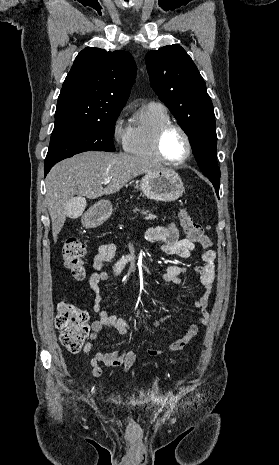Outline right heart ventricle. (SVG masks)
I'll return each mask as SVG.
<instances>
[{
  "label": "right heart ventricle",
  "mask_w": 279,
  "mask_h": 465,
  "mask_svg": "<svg viewBox=\"0 0 279 465\" xmlns=\"http://www.w3.org/2000/svg\"><path fill=\"white\" fill-rule=\"evenodd\" d=\"M171 122V116L164 105L156 102L144 105L129 127L125 151L147 161L161 162L154 146L155 136L163 125Z\"/></svg>",
  "instance_id": "e07e8e85"
}]
</instances>
